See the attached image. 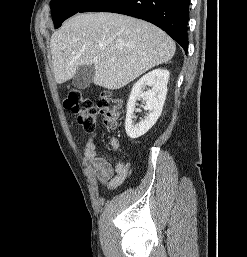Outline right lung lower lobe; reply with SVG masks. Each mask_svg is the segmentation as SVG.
<instances>
[{
    "mask_svg": "<svg viewBox=\"0 0 247 257\" xmlns=\"http://www.w3.org/2000/svg\"><path fill=\"white\" fill-rule=\"evenodd\" d=\"M190 0H91L79 12H114L146 20L171 36L188 52Z\"/></svg>",
    "mask_w": 247,
    "mask_h": 257,
    "instance_id": "obj_1",
    "label": "right lung lower lobe"
}]
</instances>
